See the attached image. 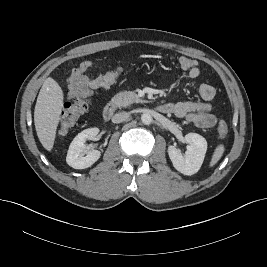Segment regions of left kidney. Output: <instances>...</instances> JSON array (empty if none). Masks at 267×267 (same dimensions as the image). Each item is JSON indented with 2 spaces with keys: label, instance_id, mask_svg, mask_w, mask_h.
Returning a JSON list of instances; mask_svg holds the SVG:
<instances>
[{
  "label": "left kidney",
  "instance_id": "obj_1",
  "mask_svg": "<svg viewBox=\"0 0 267 267\" xmlns=\"http://www.w3.org/2000/svg\"><path fill=\"white\" fill-rule=\"evenodd\" d=\"M185 141L189 145L184 156L174 146L168 147V154L174 168L189 176L197 173L200 169L207 151V141L197 133L186 134Z\"/></svg>",
  "mask_w": 267,
  "mask_h": 267
}]
</instances>
